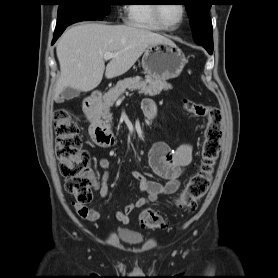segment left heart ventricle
Returning <instances> with one entry per match:
<instances>
[{
  "mask_svg": "<svg viewBox=\"0 0 278 278\" xmlns=\"http://www.w3.org/2000/svg\"><path fill=\"white\" fill-rule=\"evenodd\" d=\"M160 15L169 26H175L180 21L182 8L180 4H166L160 6Z\"/></svg>",
  "mask_w": 278,
  "mask_h": 278,
  "instance_id": "left-heart-ventricle-1",
  "label": "left heart ventricle"
}]
</instances>
